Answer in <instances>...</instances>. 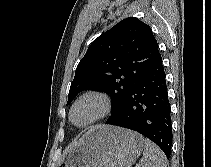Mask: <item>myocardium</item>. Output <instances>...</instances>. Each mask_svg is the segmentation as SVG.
I'll list each match as a JSON object with an SVG mask.
<instances>
[{
    "mask_svg": "<svg viewBox=\"0 0 211 167\" xmlns=\"http://www.w3.org/2000/svg\"><path fill=\"white\" fill-rule=\"evenodd\" d=\"M95 100L96 102H98L99 106H100V111L99 113L90 121L84 123V124H77L74 122L73 120V112L76 108V106L78 104H80L81 102L85 101V100ZM110 108H111V103H110V99L107 96V94H105L102 91H98V90H89L84 92L83 94H81L72 104L70 111H69V119L71 121V123L73 125H75L78 128H85V127H89L99 121H101L102 119H104L108 113L110 112Z\"/></svg>",
    "mask_w": 211,
    "mask_h": 167,
    "instance_id": "obj_1",
    "label": "myocardium"
}]
</instances>
